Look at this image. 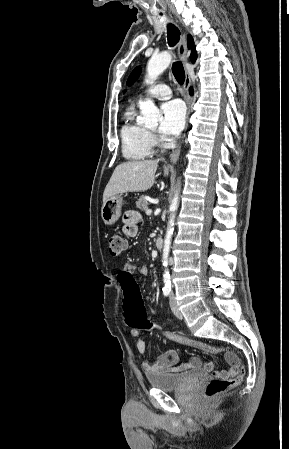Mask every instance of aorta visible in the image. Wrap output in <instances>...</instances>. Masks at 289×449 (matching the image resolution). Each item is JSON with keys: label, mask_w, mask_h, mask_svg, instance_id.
I'll list each match as a JSON object with an SVG mask.
<instances>
[{"label": "aorta", "mask_w": 289, "mask_h": 449, "mask_svg": "<svg viewBox=\"0 0 289 449\" xmlns=\"http://www.w3.org/2000/svg\"><path fill=\"white\" fill-rule=\"evenodd\" d=\"M172 56L169 52H162L158 55L152 56L147 64V83H152L157 77L164 72V70L169 66L171 63ZM140 110H141V117L140 122L144 123L148 126H155L158 122V117L160 116L159 109L155 106L153 101L146 100L143 102H140ZM178 191L175 194V197L173 198L171 205H170V219L168 222L167 232L164 239V247H163V254H162V263L165 268L164 274H163V281L165 284V287L171 286L170 281V273L167 269L168 267V258L170 253V247H171V239L173 235L174 230V219H175V212L178 208Z\"/></svg>", "instance_id": "aorta-1"}]
</instances>
